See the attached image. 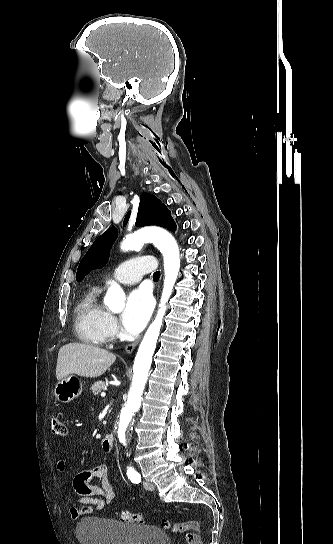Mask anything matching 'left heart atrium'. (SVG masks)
Wrapping results in <instances>:
<instances>
[{
	"label": "left heart atrium",
	"instance_id": "39dd6f15",
	"mask_svg": "<svg viewBox=\"0 0 333 544\" xmlns=\"http://www.w3.org/2000/svg\"><path fill=\"white\" fill-rule=\"evenodd\" d=\"M153 298L144 287L134 289L128 296L121 316L122 325L130 333L140 332L148 322L153 310Z\"/></svg>",
	"mask_w": 333,
	"mask_h": 544
}]
</instances>
